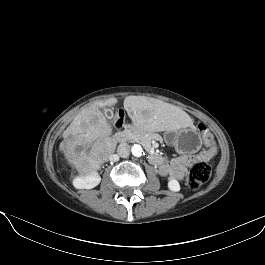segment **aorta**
Listing matches in <instances>:
<instances>
[{
	"mask_svg": "<svg viewBox=\"0 0 265 265\" xmlns=\"http://www.w3.org/2000/svg\"><path fill=\"white\" fill-rule=\"evenodd\" d=\"M131 152H132V155L135 156V157H141L142 156V153H143V149L141 147V145H133L131 147Z\"/></svg>",
	"mask_w": 265,
	"mask_h": 265,
	"instance_id": "1",
	"label": "aorta"
}]
</instances>
